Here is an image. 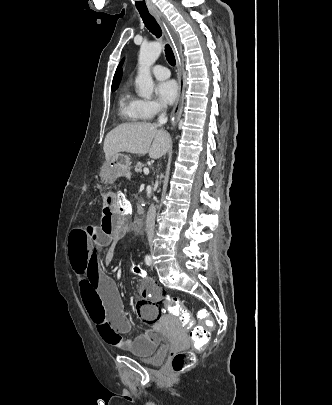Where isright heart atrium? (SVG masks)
I'll use <instances>...</instances> for the list:
<instances>
[{"label": "right heart atrium", "mask_w": 332, "mask_h": 405, "mask_svg": "<svg viewBox=\"0 0 332 405\" xmlns=\"http://www.w3.org/2000/svg\"><path fill=\"white\" fill-rule=\"evenodd\" d=\"M162 108L163 105L157 101H142V111L146 118L154 117Z\"/></svg>", "instance_id": "obj_1"}]
</instances>
